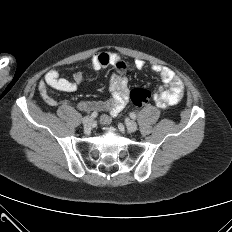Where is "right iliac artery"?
Masks as SVG:
<instances>
[{
  "label": "right iliac artery",
  "mask_w": 232,
  "mask_h": 232,
  "mask_svg": "<svg viewBox=\"0 0 232 232\" xmlns=\"http://www.w3.org/2000/svg\"><path fill=\"white\" fill-rule=\"evenodd\" d=\"M91 118H95V117H97V112H93L92 114H91V116H90Z\"/></svg>",
  "instance_id": "82829eb1"
}]
</instances>
